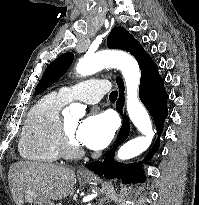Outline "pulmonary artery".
<instances>
[{"instance_id":"1","label":"pulmonary artery","mask_w":199,"mask_h":205,"mask_svg":"<svg viewBox=\"0 0 199 205\" xmlns=\"http://www.w3.org/2000/svg\"><path fill=\"white\" fill-rule=\"evenodd\" d=\"M108 87L106 80L92 78L72 86L62 87L59 94L66 102L79 100L88 104H96L108 91Z\"/></svg>"}]
</instances>
